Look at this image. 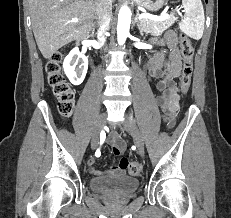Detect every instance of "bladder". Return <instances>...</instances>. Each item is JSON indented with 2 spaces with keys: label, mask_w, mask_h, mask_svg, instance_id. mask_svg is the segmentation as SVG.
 Instances as JSON below:
<instances>
[{
  "label": "bladder",
  "mask_w": 231,
  "mask_h": 218,
  "mask_svg": "<svg viewBox=\"0 0 231 218\" xmlns=\"http://www.w3.org/2000/svg\"><path fill=\"white\" fill-rule=\"evenodd\" d=\"M91 189L105 196L126 197L139 187V180L130 176H99L90 180Z\"/></svg>",
  "instance_id": "31cf9c89"
}]
</instances>
